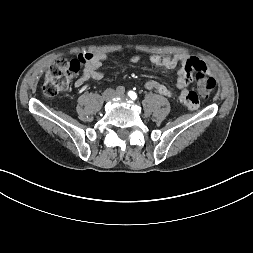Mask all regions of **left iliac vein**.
I'll return each instance as SVG.
<instances>
[{"label": "left iliac vein", "mask_w": 253, "mask_h": 253, "mask_svg": "<svg viewBox=\"0 0 253 253\" xmlns=\"http://www.w3.org/2000/svg\"><path fill=\"white\" fill-rule=\"evenodd\" d=\"M117 97H120L122 99H124L126 96L124 94H116Z\"/></svg>", "instance_id": "1"}]
</instances>
